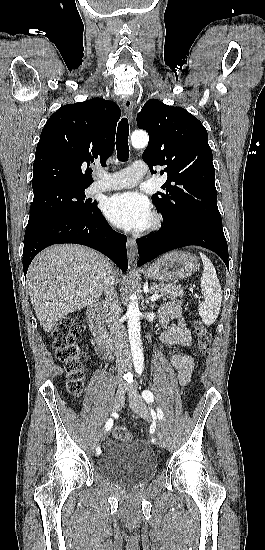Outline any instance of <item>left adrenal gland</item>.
<instances>
[{"label":"left adrenal gland","mask_w":265,"mask_h":550,"mask_svg":"<svg viewBox=\"0 0 265 550\" xmlns=\"http://www.w3.org/2000/svg\"><path fill=\"white\" fill-rule=\"evenodd\" d=\"M146 303H147V304L149 303V299H146ZM150 307H151V309H153V310L155 309V308H154V305H152V304L150 305Z\"/></svg>","instance_id":"a2214340"}]
</instances>
